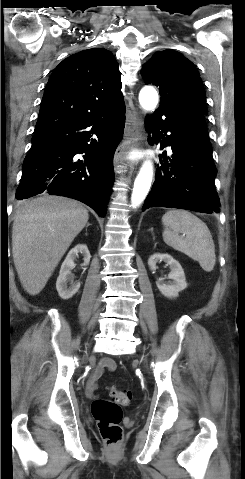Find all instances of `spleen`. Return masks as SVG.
<instances>
[{
    "label": "spleen",
    "instance_id": "3e777b00",
    "mask_svg": "<svg viewBox=\"0 0 245 479\" xmlns=\"http://www.w3.org/2000/svg\"><path fill=\"white\" fill-rule=\"evenodd\" d=\"M162 223L165 226L163 240L168 246L199 262L204 271L213 270L215 245L210 230L201 219L185 210H170L163 215Z\"/></svg>",
    "mask_w": 245,
    "mask_h": 479
}]
</instances>
